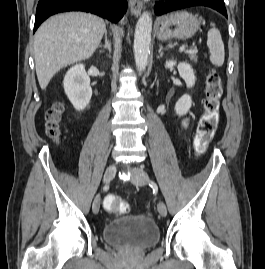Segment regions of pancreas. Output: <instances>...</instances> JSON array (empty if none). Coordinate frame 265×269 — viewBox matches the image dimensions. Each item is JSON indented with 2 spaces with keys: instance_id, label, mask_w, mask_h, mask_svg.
<instances>
[{
  "instance_id": "pancreas-1",
  "label": "pancreas",
  "mask_w": 265,
  "mask_h": 269,
  "mask_svg": "<svg viewBox=\"0 0 265 269\" xmlns=\"http://www.w3.org/2000/svg\"><path fill=\"white\" fill-rule=\"evenodd\" d=\"M188 57L191 61L195 63L198 61V56L196 55V53H188Z\"/></svg>"
}]
</instances>
